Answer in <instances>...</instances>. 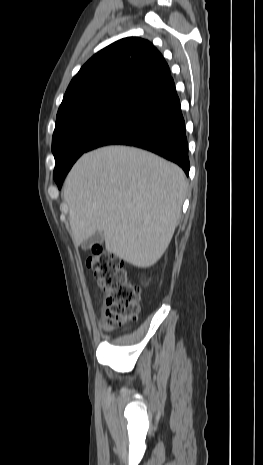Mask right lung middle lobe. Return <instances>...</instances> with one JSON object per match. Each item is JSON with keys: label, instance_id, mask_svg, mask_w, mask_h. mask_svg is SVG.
Segmentation results:
<instances>
[{"label": "right lung middle lobe", "instance_id": "right-lung-middle-lobe-1", "mask_svg": "<svg viewBox=\"0 0 263 465\" xmlns=\"http://www.w3.org/2000/svg\"><path fill=\"white\" fill-rule=\"evenodd\" d=\"M135 99L127 96L96 98L57 115L52 138L55 181L66 176L75 161L89 151L93 142L128 110Z\"/></svg>", "mask_w": 263, "mask_h": 465}]
</instances>
